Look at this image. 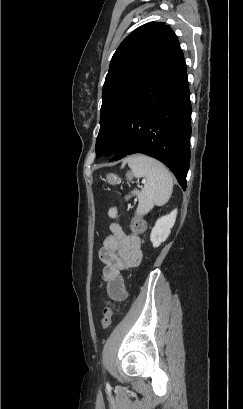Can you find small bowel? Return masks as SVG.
Here are the masks:
<instances>
[{"label": "small bowel", "instance_id": "small-bowel-1", "mask_svg": "<svg viewBox=\"0 0 243 409\" xmlns=\"http://www.w3.org/2000/svg\"><path fill=\"white\" fill-rule=\"evenodd\" d=\"M111 233L104 238L99 256L104 264L102 279L106 294L114 301H122L127 291L122 272L139 265L142 260L140 239L136 235L127 234L118 224H109Z\"/></svg>", "mask_w": 243, "mask_h": 409}]
</instances>
